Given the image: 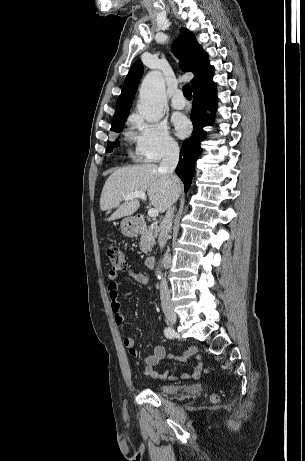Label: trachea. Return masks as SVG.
Wrapping results in <instances>:
<instances>
[{
    "label": "trachea",
    "mask_w": 305,
    "mask_h": 461,
    "mask_svg": "<svg viewBox=\"0 0 305 461\" xmlns=\"http://www.w3.org/2000/svg\"><path fill=\"white\" fill-rule=\"evenodd\" d=\"M182 90H183V94H184L185 98H187V99L192 98V91H191V87H190L189 84L184 85Z\"/></svg>",
    "instance_id": "1"
}]
</instances>
